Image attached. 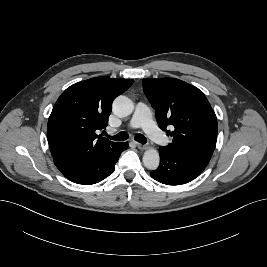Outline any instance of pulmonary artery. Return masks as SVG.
Returning a JSON list of instances; mask_svg holds the SVG:
<instances>
[{"instance_id": "1", "label": "pulmonary artery", "mask_w": 267, "mask_h": 267, "mask_svg": "<svg viewBox=\"0 0 267 267\" xmlns=\"http://www.w3.org/2000/svg\"><path fill=\"white\" fill-rule=\"evenodd\" d=\"M129 126L131 128H143L151 139L161 145L167 143L166 136L158 129L153 121L150 108L142 102L137 104Z\"/></svg>"}]
</instances>
